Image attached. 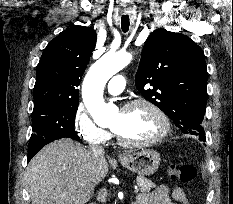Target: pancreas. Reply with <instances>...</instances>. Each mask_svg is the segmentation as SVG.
Listing matches in <instances>:
<instances>
[{
    "mask_svg": "<svg viewBox=\"0 0 233 204\" xmlns=\"http://www.w3.org/2000/svg\"><path fill=\"white\" fill-rule=\"evenodd\" d=\"M137 184L139 185V191L142 193L149 192L152 188H155L156 185L149 179L143 177V176H137L136 178Z\"/></svg>",
    "mask_w": 233,
    "mask_h": 204,
    "instance_id": "1",
    "label": "pancreas"
}]
</instances>
